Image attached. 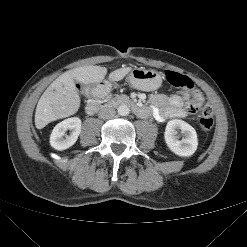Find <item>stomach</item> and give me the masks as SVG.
Masks as SVG:
<instances>
[{
	"label": "stomach",
	"mask_w": 247,
	"mask_h": 247,
	"mask_svg": "<svg viewBox=\"0 0 247 247\" xmlns=\"http://www.w3.org/2000/svg\"><path fill=\"white\" fill-rule=\"evenodd\" d=\"M128 81L136 89L152 91L161 86L162 76L155 70L136 67L130 71Z\"/></svg>",
	"instance_id": "obj_1"
}]
</instances>
